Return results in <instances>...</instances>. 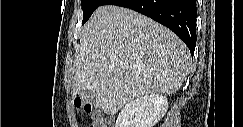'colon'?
I'll return each instance as SVG.
<instances>
[{"instance_id":"obj_1","label":"colon","mask_w":243,"mask_h":127,"mask_svg":"<svg viewBox=\"0 0 243 127\" xmlns=\"http://www.w3.org/2000/svg\"><path fill=\"white\" fill-rule=\"evenodd\" d=\"M78 111H83L91 121V127H103V118L98 111L90 103L83 102L80 98H77L74 102Z\"/></svg>"}]
</instances>
